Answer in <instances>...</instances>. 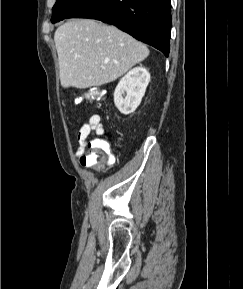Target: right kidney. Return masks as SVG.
<instances>
[{
    "label": "right kidney",
    "mask_w": 243,
    "mask_h": 289,
    "mask_svg": "<svg viewBox=\"0 0 243 289\" xmlns=\"http://www.w3.org/2000/svg\"><path fill=\"white\" fill-rule=\"evenodd\" d=\"M149 82L150 74L144 67L130 70L115 89L114 103L117 109L125 115L133 113L140 105Z\"/></svg>",
    "instance_id": "obj_1"
}]
</instances>
